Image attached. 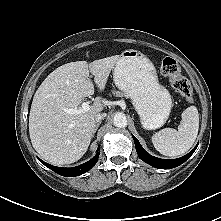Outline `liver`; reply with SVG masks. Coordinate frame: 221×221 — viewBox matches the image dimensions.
Segmentation results:
<instances>
[{
    "instance_id": "1",
    "label": "liver",
    "mask_w": 221,
    "mask_h": 221,
    "mask_svg": "<svg viewBox=\"0 0 221 221\" xmlns=\"http://www.w3.org/2000/svg\"><path fill=\"white\" fill-rule=\"evenodd\" d=\"M118 55L64 64L51 72L37 89L29 115V134L34 149L54 165L71 164L87 151L96 126L95 115L104 105L97 98L87 112L72 115L66 109L78 108L82 99L105 89Z\"/></svg>"
}]
</instances>
